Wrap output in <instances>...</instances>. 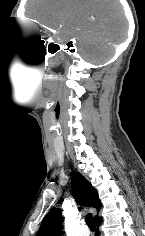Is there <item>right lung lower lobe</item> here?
I'll return each instance as SVG.
<instances>
[{"label": "right lung lower lobe", "mask_w": 145, "mask_h": 236, "mask_svg": "<svg viewBox=\"0 0 145 236\" xmlns=\"http://www.w3.org/2000/svg\"><path fill=\"white\" fill-rule=\"evenodd\" d=\"M95 221V224L97 225V227H99V225L101 224V218H97L96 220H94ZM98 234H99V231L97 230L96 231V236H98Z\"/></svg>", "instance_id": "1"}]
</instances>
